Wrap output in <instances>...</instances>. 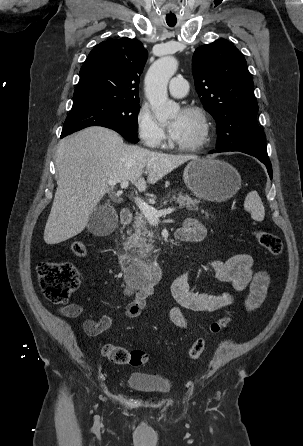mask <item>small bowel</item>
Instances as JSON below:
<instances>
[{"label": "small bowel", "instance_id": "small-bowel-1", "mask_svg": "<svg viewBox=\"0 0 303 446\" xmlns=\"http://www.w3.org/2000/svg\"><path fill=\"white\" fill-rule=\"evenodd\" d=\"M179 233L187 238V242H199L206 236L204 225L196 219L185 220ZM209 268L214 278L220 282L229 283L235 292L248 290L244 301L247 311L257 308L265 298L269 285V276L264 271L253 269V258L248 253H241L225 260L214 259L199 264ZM193 268L184 271L173 281L171 294L176 301V306L170 309L171 322L180 328L187 327V321L183 309L194 312H215L229 306L234 301V296L229 292L208 293L194 290L191 284ZM125 295L131 297L125 309L129 318H137L146 306L147 300L154 295L153 286H144L138 289L127 287ZM85 309L81 304L72 303L61 307L60 313L67 318H79L84 316ZM112 318L102 316L99 319H86L83 323L84 332L88 336H97L112 326Z\"/></svg>", "mask_w": 303, "mask_h": 446}]
</instances>
